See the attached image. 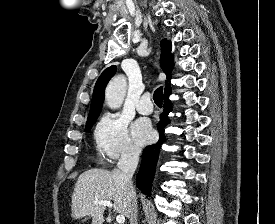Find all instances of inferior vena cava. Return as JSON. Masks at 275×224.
Listing matches in <instances>:
<instances>
[{
  "mask_svg": "<svg viewBox=\"0 0 275 224\" xmlns=\"http://www.w3.org/2000/svg\"><path fill=\"white\" fill-rule=\"evenodd\" d=\"M140 150L134 147H128L121 153L117 167L121 172L122 181L128 192L130 224H137V200L135 190L132 184V177L137 168Z\"/></svg>",
  "mask_w": 275,
  "mask_h": 224,
  "instance_id": "inferior-vena-cava-1",
  "label": "inferior vena cava"
}]
</instances>
